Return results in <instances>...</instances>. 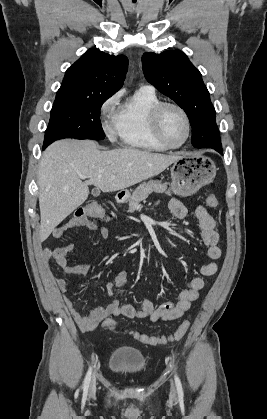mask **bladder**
I'll use <instances>...</instances> for the list:
<instances>
[{
    "mask_svg": "<svg viewBox=\"0 0 267 419\" xmlns=\"http://www.w3.org/2000/svg\"><path fill=\"white\" fill-rule=\"evenodd\" d=\"M147 364L141 351L129 346H118L111 352L108 368L117 375L135 376L144 372Z\"/></svg>",
    "mask_w": 267,
    "mask_h": 419,
    "instance_id": "obj_1",
    "label": "bladder"
}]
</instances>
